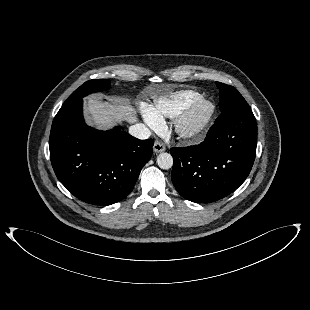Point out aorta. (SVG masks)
Returning a JSON list of instances; mask_svg holds the SVG:
<instances>
[{"label": "aorta", "mask_w": 310, "mask_h": 310, "mask_svg": "<svg viewBox=\"0 0 310 310\" xmlns=\"http://www.w3.org/2000/svg\"><path fill=\"white\" fill-rule=\"evenodd\" d=\"M157 165L164 170L170 169L173 166V158L171 154L163 152L157 157Z\"/></svg>", "instance_id": "1"}]
</instances>
